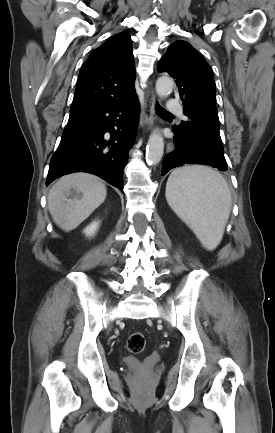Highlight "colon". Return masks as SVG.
<instances>
[{"mask_svg":"<svg viewBox=\"0 0 275 433\" xmlns=\"http://www.w3.org/2000/svg\"><path fill=\"white\" fill-rule=\"evenodd\" d=\"M126 347L130 353H141L145 347L144 334L140 331L131 333L127 338Z\"/></svg>","mask_w":275,"mask_h":433,"instance_id":"obj_1","label":"colon"}]
</instances>
